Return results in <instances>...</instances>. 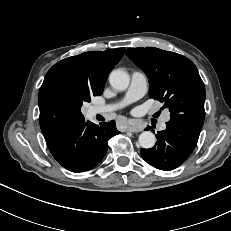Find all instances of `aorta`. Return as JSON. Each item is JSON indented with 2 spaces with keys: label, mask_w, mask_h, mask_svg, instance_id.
Masks as SVG:
<instances>
[{
  "label": "aorta",
  "mask_w": 231,
  "mask_h": 231,
  "mask_svg": "<svg viewBox=\"0 0 231 231\" xmlns=\"http://www.w3.org/2000/svg\"><path fill=\"white\" fill-rule=\"evenodd\" d=\"M110 85L116 90L127 89L130 83L128 73L121 69L113 70L109 75ZM139 144L144 149L152 148L156 143V137L151 131H144L139 135Z\"/></svg>",
  "instance_id": "762f6f07"
}]
</instances>
